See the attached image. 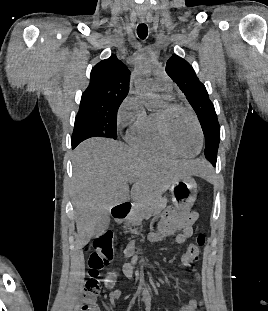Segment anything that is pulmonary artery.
Masks as SVG:
<instances>
[{
	"instance_id": "e3ab8cb5",
	"label": "pulmonary artery",
	"mask_w": 268,
	"mask_h": 311,
	"mask_svg": "<svg viewBox=\"0 0 268 311\" xmlns=\"http://www.w3.org/2000/svg\"><path fill=\"white\" fill-rule=\"evenodd\" d=\"M153 88L156 91L164 93L165 97H171V83L166 75H159L155 77L152 81Z\"/></svg>"
}]
</instances>
